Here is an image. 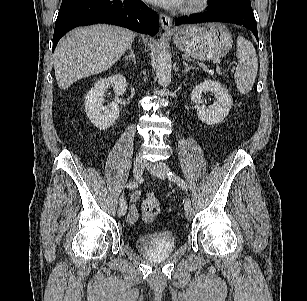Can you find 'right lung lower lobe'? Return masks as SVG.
Masks as SVG:
<instances>
[{"mask_svg": "<svg viewBox=\"0 0 307 301\" xmlns=\"http://www.w3.org/2000/svg\"><path fill=\"white\" fill-rule=\"evenodd\" d=\"M96 23L114 24L151 36L159 30L158 15L139 0H62L52 50L71 29Z\"/></svg>", "mask_w": 307, "mask_h": 301, "instance_id": "right-lung-lower-lobe-1", "label": "right lung lower lobe"}]
</instances>
